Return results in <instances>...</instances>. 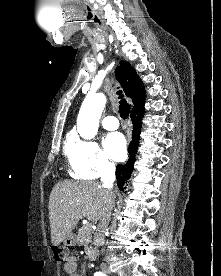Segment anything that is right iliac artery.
I'll return each instance as SVG.
<instances>
[{"mask_svg":"<svg viewBox=\"0 0 221 276\" xmlns=\"http://www.w3.org/2000/svg\"><path fill=\"white\" fill-rule=\"evenodd\" d=\"M94 276H106V275L103 274L102 272H96V273L94 274Z\"/></svg>","mask_w":221,"mask_h":276,"instance_id":"1","label":"right iliac artery"}]
</instances>
